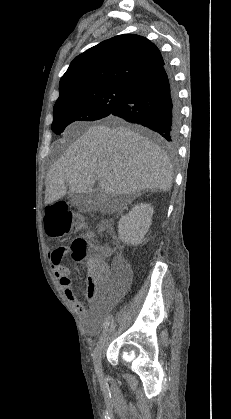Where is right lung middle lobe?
<instances>
[{
  "mask_svg": "<svg viewBox=\"0 0 231 419\" xmlns=\"http://www.w3.org/2000/svg\"><path fill=\"white\" fill-rule=\"evenodd\" d=\"M130 87L106 86L77 91L57 101L53 109L52 130L60 134L74 121L104 118L127 97Z\"/></svg>",
  "mask_w": 231,
  "mask_h": 419,
  "instance_id": "1",
  "label": "right lung middle lobe"
}]
</instances>
